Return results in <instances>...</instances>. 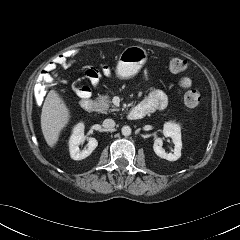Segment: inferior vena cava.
<instances>
[{
	"label": "inferior vena cava",
	"instance_id": "inferior-vena-cava-1",
	"mask_svg": "<svg viewBox=\"0 0 240 240\" xmlns=\"http://www.w3.org/2000/svg\"><path fill=\"white\" fill-rule=\"evenodd\" d=\"M102 126H103L105 129H112V128H114V126H115V121L112 120V119H105V120L103 121Z\"/></svg>",
	"mask_w": 240,
	"mask_h": 240
}]
</instances>
